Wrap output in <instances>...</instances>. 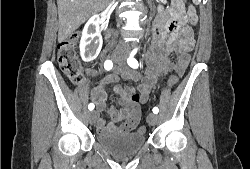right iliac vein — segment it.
I'll return each mask as SVG.
<instances>
[{"label":"right iliac vein","instance_id":"right-iliac-vein-1","mask_svg":"<svg viewBox=\"0 0 250 169\" xmlns=\"http://www.w3.org/2000/svg\"><path fill=\"white\" fill-rule=\"evenodd\" d=\"M113 60L114 61H119V59L117 57H113ZM88 117H89V121L91 124H94L95 123V120L97 118V113L96 111H92V112H89L88 113Z\"/></svg>","mask_w":250,"mask_h":169}]
</instances>
